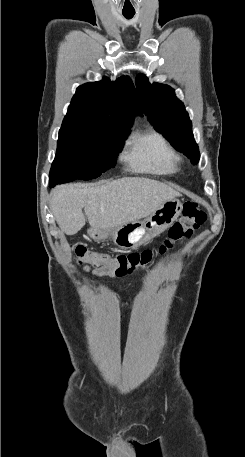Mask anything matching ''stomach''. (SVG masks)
<instances>
[{"label": "stomach", "mask_w": 245, "mask_h": 457, "mask_svg": "<svg viewBox=\"0 0 245 457\" xmlns=\"http://www.w3.org/2000/svg\"><path fill=\"white\" fill-rule=\"evenodd\" d=\"M182 208L179 198H168L144 220H131L118 226H110V229H94V226H91L87 233L94 241H105L111 237L119 249L134 251L164 233L181 214Z\"/></svg>", "instance_id": "0dacf381"}]
</instances>
